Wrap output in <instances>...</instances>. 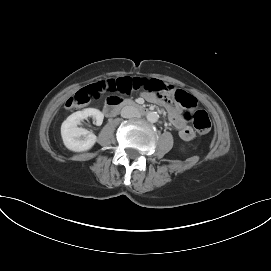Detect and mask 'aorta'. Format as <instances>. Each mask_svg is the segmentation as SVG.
<instances>
[{
	"label": "aorta",
	"mask_w": 271,
	"mask_h": 271,
	"mask_svg": "<svg viewBox=\"0 0 271 271\" xmlns=\"http://www.w3.org/2000/svg\"><path fill=\"white\" fill-rule=\"evenodd\" d=\"M146 118L149 122L155 123L158 121L159 115L157 112H148Z\"/></svg>",
	"instance_id": "obj_1"
}]
</instances>
